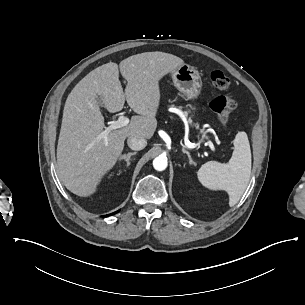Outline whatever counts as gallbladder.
I'll return each instance as SVG.
<instances>
[{"label": "gallbladder", "instance_id": "obj_1", "mask_svg": "<svg viewBox=\"0 0 305 305\" xmlns=\"http://www.w3.org/2000/svg\"><path fill=\"white\" fill-rule=\"evenodd\" d=\"M98 101H99V103H101V100H100V99H98Z\"/></svg>", "mask_w": 305, "mask_h": 305}]
</instances>
